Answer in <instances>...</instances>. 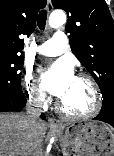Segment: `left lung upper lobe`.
<instances>
[{"instance_id":"left-lung-upper-lobe-1","label":"left lung upper lobe","mask_w":114,"mask_h":156,"mask_svg":"<svg viewBox=\"0 0 114 156\" xmlns=\"http://www.w3.org/2000/svg\"><path fill=\"white\" fill-rule=\"evenodd\" d=\"M68 14L72 52L98 83L101 111H114V21L105 0H52Z\"/></svg>"}]
</instances>
